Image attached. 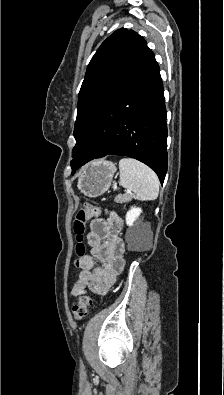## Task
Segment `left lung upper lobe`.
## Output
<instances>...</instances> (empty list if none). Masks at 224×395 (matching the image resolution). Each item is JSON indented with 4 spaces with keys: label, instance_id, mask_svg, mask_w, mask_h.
<instances>
[{
    "label": "left lung upper lobe",
    "instance_id": "1",
    "mask_svg": "<svg viewBox=\"0 0 224 395\" xmlns=\"http://www.w3.org/2000/svg\"><path fill=\"white\" fill-rule=\"evenodd\" d=\"M152 55L142 36L124 28L116 30L98 48L79 92L72 172L86 155L103 111Z\"/></svg>",
    "mask_w": 224,
    "mask_h": 395
}]
</instances>
